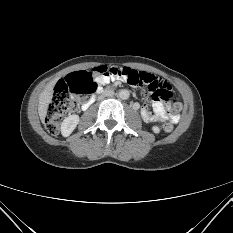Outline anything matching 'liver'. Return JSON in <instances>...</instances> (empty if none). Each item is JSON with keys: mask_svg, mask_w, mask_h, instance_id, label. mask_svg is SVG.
<instances>
[{"mask_svg": "<svg viewBox=\"0 0 233 233\" xmlns=\"http://www.w3.org/2000/svg\"><path fill=\"white\" fill-rule=\"evenodd\" d=\"M56 81H57V79L49 82L46 85L43 92L40 94L39 104H38V114H39L42 122H44V120H45L49 104L52 101L53 88L55 86Z\"/></svg>", "mask_w": 233, "mask_h": 233, "instance_id": "1", "label": "liver"}]
</instances>
